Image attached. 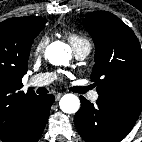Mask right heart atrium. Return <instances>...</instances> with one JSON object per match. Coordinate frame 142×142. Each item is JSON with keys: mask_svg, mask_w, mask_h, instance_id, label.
<instances>
[{"mask_svg": "<svg viewBox=\"0 0 142 142\" xmlns=\"http://www.w3.org/2000/svg\"><path fill=\"white\" fill-rule=\"evenodd\" d=\"M48 38L47 37H42L35 45L34 47V53L35 55H39L40 53L43 52L45 46L47 45Z\"/></svg>", "mask_w": 142, "mask_h": 142, "instance_id": "right-heart-atrium-1", "label": "right heart atrium"}]
</instances>
